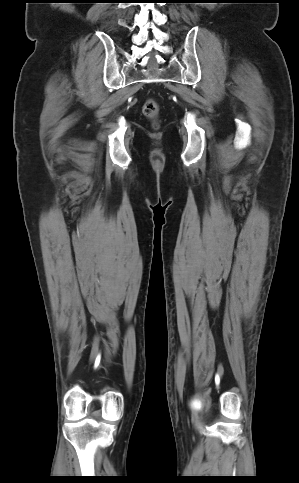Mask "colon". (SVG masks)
I'll return each mask as SVG.
<instances>
[{"mask_svg":"<svg viewBox=\"0 0 299 483\" xmlns=\"http://www.w3.org/2000/svg\"><path fill=\"white\" fill-rule=\"evenodd\" d=\"M158 112H159L158 103L152 98L147 99L143 106L144 115L152 120H156L158 116Z\"/></svg>","mask_w":299,"mask_h":483,"instance_id":"colon-1","label":"colon"}]
</instances>
